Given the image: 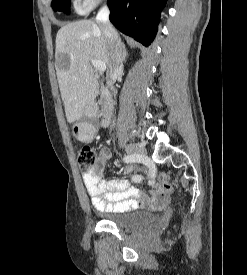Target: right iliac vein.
<instances>
[{
    "label": "right iliac vein",
    "mask_w": 247,
    "mask_h": 275,
    "mask_svg": "<svg viewBox=\"0 0 247 275\" xmlns=\"http://www.w3.org/2000/svg\"><path fill=\"white\" fill-rule=\"evenodd\" d=\"M125 150L128 154H136V155H140V154H145V149L143 148V146L139 145V144H128L125 146Z\"/></svg>",
    "instance_id": "1"
}]
</instances>
